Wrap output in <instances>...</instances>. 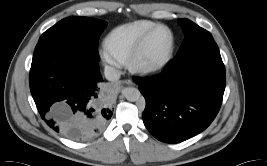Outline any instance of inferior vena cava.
<instances>
[{
    "mask_svg": "<svg viewBox=\"0 0 267 166\" xmlns=\"http://www.w3.org/2000/svg\"><path fill=\"white\" fill-rule=\"evenodd\" d=\"M104 75L109 81H116L120 78V71L111 66H105Z\"/></svg>",
    "mask_w": 267,
    "mask_h": 166,
    "instance_id": "602c4592",
    "label": "inferior vena cava"
}]
</instances>
